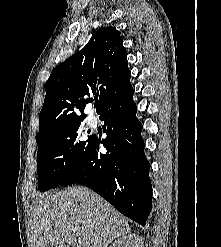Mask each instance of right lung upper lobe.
Returning <instances> with one entry per match:
<instances>
[{
	"label": "right lung upper lobe",
	"mask_w": 221,
	"mask_h": 247,
	"mask_svg": "<svg viewBox=\"0 0 221 247\" xmlns=\"http://www.w3.org/2000/svg\"><path fill=\"white\" fill-rule=\"evenodd\" d=\"M126 50L119 31L101 28L85 47L58 65L45 85L46 96L39 114L40 127L37 137L76 121H83L87 100L97 94L96 112L132 90Z\"/></svg>",
	"instance_id": "cb5924a9"
}]
</instances>
